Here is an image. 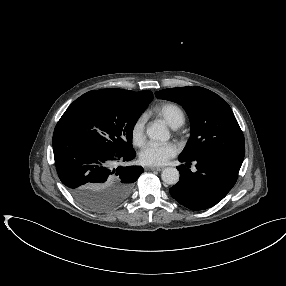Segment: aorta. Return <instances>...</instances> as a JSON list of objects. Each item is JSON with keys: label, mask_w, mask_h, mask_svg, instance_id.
<instances>
[{"label": "aorta", "mask_w": 286, "mask_h": 286, "mask_svg": "<svg viewBox=\"0 0 286 286\" xmlns=\"http://www.w3.org/2000/svg\"><path fill=\"white\" fill-rule=\"evenodd\" d=\"M147 136L154 141H167L170 138L169 131L164 124L154 123L147 127ZM179 171L173 167H167L162 171L161 178L168 185H175L179 181Z\"/></svg>", "instance_id": "aorta-1"}]
</instances>
